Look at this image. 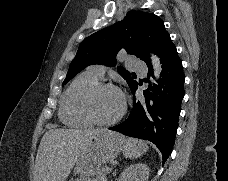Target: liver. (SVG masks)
I'll list each match as a JSON object with an SVG mask.
<instances>
[{"label":"liver","instance_id":"liver-1","mask_svg":"<svg viewBox=\"0 0 228 181\" xmlns=\"http://www.w3.org/2000/svg\"><path fill=\"white\" fill-rule=\"evenodd\" d=\"M103 129H51L42 137L33 181H65L93 135Z\"/></svg>","mask_w":228,"mask_h":181}]
</instances>
